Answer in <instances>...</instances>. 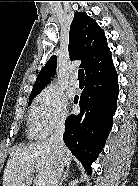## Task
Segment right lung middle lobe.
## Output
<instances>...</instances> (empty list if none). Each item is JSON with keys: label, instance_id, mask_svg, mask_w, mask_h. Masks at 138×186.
I'll use <instances>...</instances> for the list:
<instances>
[{"label": "right lung middle lobe", "instance_id": "dd1d6c3e", "mask_svg": "<svg viewBox=\"0 0 138 186\" xmlns=\"http://www.w3.org/2000/svg\"><path fill=\"white\" fill-rule=\"evenodd\" d=\"M37 94H34V95H30V98L29 100L31 101ZM30 103V102H29Z\"/></svg>", "mask_w": 138, "mask_h": 186}]
</instances>
